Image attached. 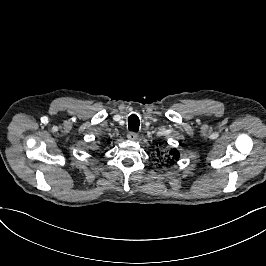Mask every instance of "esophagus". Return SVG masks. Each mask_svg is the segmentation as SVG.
<instances>
[{
	"instance_id": "obj_1",
	"label": "esophagus",
	"mask_w": 266,
	"mask_h": 266,
	"mask_svg": "<svg viewBox=\"0 0 266 266\" xmlns=\"http://www.w3.org/2000/svg\"><path fill=\"white\" fill-rule=\"evenodd\" d=\"M137 137H138L137 133H134V132H129V133L127 134V138H128L129 140H136Z\"/></svg>"
}]
</instances>
